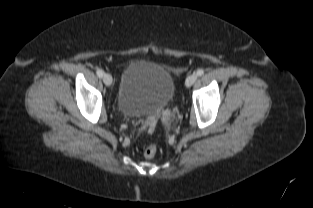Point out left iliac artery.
<instances>
[{
	"mask_svg": "<svg viewBox=\"0 0 313 208\" xmlns=\"http://www.w3.org/2000/svg\"><path fill=\"white\" fill-rule=\"evenodd\" d=\"M203 74H204V70L203 69L197 70V75L198 76H202Z\"/></svg>",
	"mask_w": 313,
	"mask_h": 208,
	"instance_id": "1",
	"label": "left iliac artery"
}]
</instances>
